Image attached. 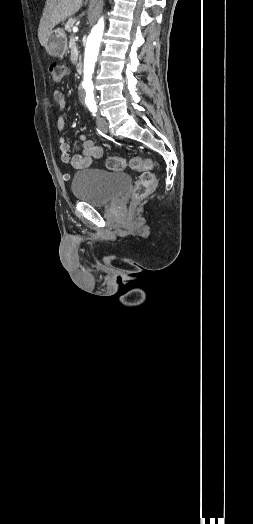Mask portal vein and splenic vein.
Returning <instances> with one entry per match:
<instances>
[{
  "label": "portal vein and splenic vein",
  "mask_w": 253,
  "mask_h": 524,
  "mask_svg": "<svg viewBox=\"0 0 253 524\" xmlns=\"http://www.w3.org/2000/svg\"><path fill=\"white\" fill-rule=\"evenodd\" d=\"M78 31V28L77 27H73V32H77Z\"/></svg>",
  "instance_id": "portal-vein-and-splenic-vein-1"
}]
</instances>
